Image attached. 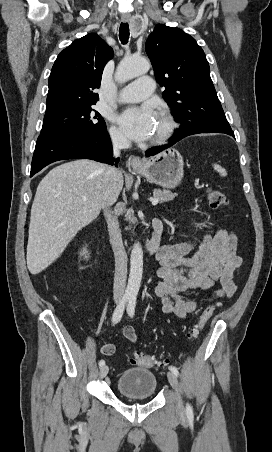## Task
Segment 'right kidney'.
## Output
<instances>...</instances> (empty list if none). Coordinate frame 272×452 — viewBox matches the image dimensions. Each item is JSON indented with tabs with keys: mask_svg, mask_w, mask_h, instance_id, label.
I'll use <instances>...</instances> for the list:
<instances>
[{
	"mask_svg": "<svg viewBox=\"0 0 272 452\" xmlns=\"http://www.w3.org/2000/svg\"><path fill=\"white\" fill-rule=\"evenodd\" d=\"M82 255H84V256H85V258H87V250H86V249H83V251H82Z\"/></svg>",
	"mask_w": 272,
	"mask_h": 452,
	"instance_id": "1",
	"label": "right kidney"
}]
</instances>
